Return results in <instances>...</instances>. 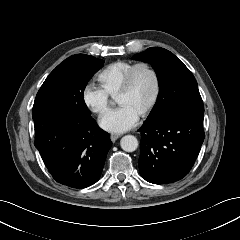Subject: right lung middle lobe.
<instances>
[{
	"label": "right lung middle lobe",
	"instance_id": "right-lung-middle-lobe-1",
	"mask_svg": "<svg viewBox=\"0 0 240 240\" xmlns=\"http://www.w3.org/2000/svg\"><path fill=\"white\" fill-rule=\"evenodd\" d=\"M103 64V60L86 54L73 55L64 60L42 84L35 98L33 113L58 111L89 117L84 89Z\"/></svg>",
	"mask_w": 240,
	"mask_h": 240
}]
</instances>
